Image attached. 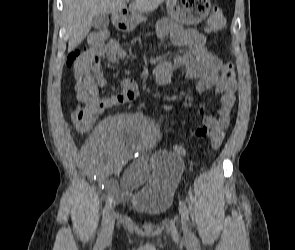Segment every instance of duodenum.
<instances>
[{"label": "duodenum", "instance_id": "duodenum-1", "mask_svg": "<svg viewBox=\"0 0 295 250\" xmlns=\"http://www.w3.org/2000/svg\"><path fill=\"white\" fill-rule=\"evenodd\" d=\"M126 21H128V12L126 9H122L116 17V22H126Z\"/></svg>", "mask_w": 295, "mask_h": 250}]
</instances>
